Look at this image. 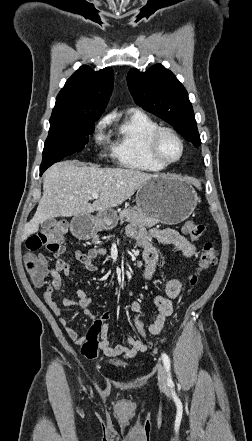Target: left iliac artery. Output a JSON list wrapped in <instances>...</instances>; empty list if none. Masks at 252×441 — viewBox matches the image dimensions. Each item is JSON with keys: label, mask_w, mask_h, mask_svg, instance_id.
<instances>
[{"label": "left iliac artery", "mask_w": 252, "mask_h": 441, "mask_svg": "<svg viewBox=\"0 0 252 441\" xmlns=\"http://www.w3.org/2000/svg\"><path fill=\"white\" fill-rule=\"evenodd\" d=\"M162 360L165 366V369L167 371V375H168V384H172L173 381L171 379V374H170V358L168 357V355L166 353L162 354Z\"/></svg>", "instance_id": "1"}]
</instances>
